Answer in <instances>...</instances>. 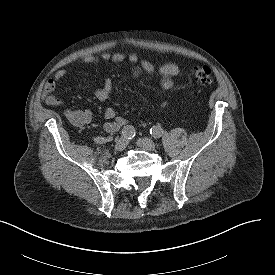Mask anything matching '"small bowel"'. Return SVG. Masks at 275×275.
<instances>
[{
  "label": "small bowel",
  "mask_w": 275,
  "mask_h": 275,
  "mask_svg": "<svg viewBox=\"0 0 275 275\" xmlns=\"http://www.w3.org/2000/svg\"><path fill=\"white\" fill-rule=\"evenodd\" d=\"M127 60L131 64H139L138 68L134 71V76L137 77L141 73L151 74L155 71V67L152 63L148 61H139L136 54H130L126 56L122 53H108L105 52L101 56L90 55L86 56L82 60L83 65L94 64L100 61L105 62H117L121 63ZM161 75V88L165 91H170L174 87V78L181 76V69L174 63H165L161 65L158 69ZM69 74L67 69H60L56 72L54 78L46 81L43 91V100L46 104L52 106H62L64 100L61 97L54 95L57 83ZM112 79L106 78L104 85L97 90L96 98L104 102L108 100L112 92ZM65 118L76 127H83L88 125L92 121L93 114L90 110H65ZM104 118L106 120L104 124V130L106 132H116L121 129L126 124V119L118 116L113 108H107L104 112Z\"/></svg>",
  "instance_id": "small-bowel-1"
}]
</instances>
